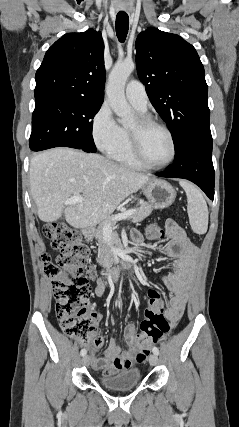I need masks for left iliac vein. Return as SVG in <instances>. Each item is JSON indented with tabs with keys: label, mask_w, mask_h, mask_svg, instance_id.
<instances>
[{
	"label": "left iliac vein",
	"mask_w": 239,
	"mask_h": 427,
	"mask_svg": "<svg viewBox=\"0 0 239 427\" xmlns=\"http://www.w3.org/2000/svg\"><path fill=\"white\" fill-rule=\"evenodd\" d=\"M149 363L151 366H155L158 363V356L156 354H152L149 357Z\"/></svg>",
	"instance_id": "1"
}]
</instances>
